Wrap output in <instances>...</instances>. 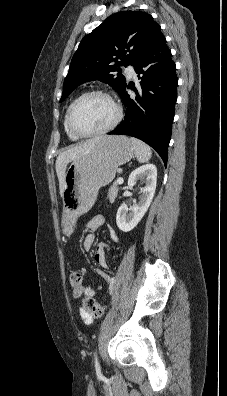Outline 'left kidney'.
Listing matches in <instances>:
<instances>
[{
  "mask_svg": "<svg viewBox=\"0 0 227 396\" xmlns=\"http://www.w3.org/2000/svg\"><path fill=\"white\" fill-rule=\"evenodd\" d=\"M138 180H143L145 183V186L140 188L138 204L130 208L120 206L117 211L116 223L118 228L123 232H129L134 229L147 212L156 189V166L154 164H145L135 169L129 175L128 186H135Z\"/></svg>",
  "mask_w": 227,
  "mask_h": 396,
  "instance_id": "1",
  "label": "left kidney"
}]
</instances>
